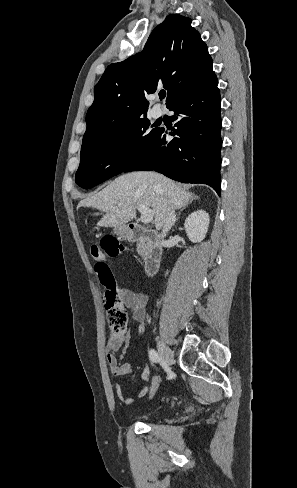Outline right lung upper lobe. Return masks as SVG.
Wrapping results in <instances>:
<instances>
[{"instance_id": "cb5924a9", "label": "right lung upper lobe", "mask_w": 297, "mask_h": 488, "mask_svg": "<svg viewBox=\"0 0 297 488\" xmlns=\"http://www.w3.org/2000/svg\"><path fill=\"white\" fill-rule=\"evenodd\" d=\"M215 73L207 46L191 19L171 14L149 36L142 52L109 65L94 91L84 138L105 134L146 115L145 94L163 84L169 108Z\"/></svg>"}]
</instances>
